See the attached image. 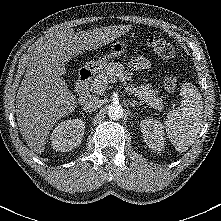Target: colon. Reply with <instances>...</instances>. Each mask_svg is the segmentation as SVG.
I'll return each mask as SVG.
<instances>
[{"mask_svg": "<svg viewBox=\"0 0 221 221\" xmlns=\"http://www.w3.org/2000/svg\"><path fill=\"white\" fill-rule=\"evenodd\" d=\"M146 44L163 61L171 60L175 57V49L168 41L157 36H150ZM163 88L168 92H173L177 87V78L174 75H167L162 80Z\"/></svg>", "mask_w": 221, "mask_h": 221, "instance_id": "1", "label": "colon"}]
</instances>
